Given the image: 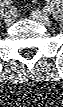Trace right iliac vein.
Wrapping results in <instances>:
<instances>
[{
  "label": "right iliac vein",
  "instance_id": "1",
  "mask_svg": "<svg viewBox=\"0 0 63 107\" xmlns=\"http://www.w3.org/2000/svg\"><path fill=\"white\" fill-rule=\"evenodd\" d=\"M13 20H14V16L12 15V13L6 12L5 13V22L7 24H9V23L13 22Z\"/></svg>",
  "mask_w": 63,
  "mask_h": 107
}]
</instances>
